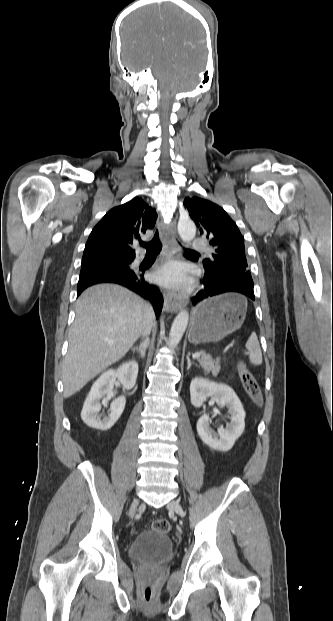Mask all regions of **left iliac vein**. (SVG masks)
Returning <instances> with one entry per match:
<instances>
[{"mask_svg":"<svg viewBox=\"0 0 333 621\" xmlns=\"http://www.w3.org/2000/svg\"><path fill=\"white\" fill-rule=\"evenodd\" d=\"M168 508L174 510L179 515H182L183 513L182 507L177 501L170 502Z\"/></svg>","mask_w":333,"mask_h":621,"instance_id":"4c4485c4","label":"left iliac vein"}]
</instances>
